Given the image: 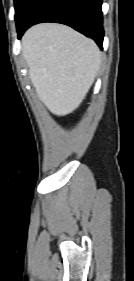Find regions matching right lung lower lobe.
<instances>
[{
	"label": "right lung lower lobe",
	"instance_id": "obj_1",
	"mask_svg": "<svg viewBox=\"0 0 134 281\" xmlns=\"http://www.w3.org/2000/svg\"><path fill=\"white\" fill-rule=\"evenodd\" d=\"M102 0H33L22 23L17 27L18 37L30 26L40 22L68 25L91 37L102 49Z\"/></svg>",
	"mask_w": 134,
	"mask_h": 281
}]
</instances>
